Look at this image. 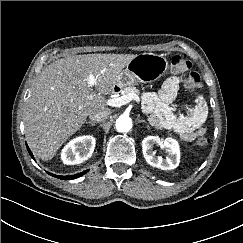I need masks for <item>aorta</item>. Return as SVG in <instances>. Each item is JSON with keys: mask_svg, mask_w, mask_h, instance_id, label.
<instances>
[{"mask_svg": "<svg viewBox=\"0 0 243 243\" xmlns=\"http://www.w3.org/2000/svg\"><path fill=\"white\" fill-rule=\"evenodd\" d=\"M116 130L118 132H128L132 128V120L129 116H120L115 123Z\"/></svg>", "mask_w": 243, "mask_h": 243, "instance_id": "762f6f07", "label": "aorta"}]
</instances>
